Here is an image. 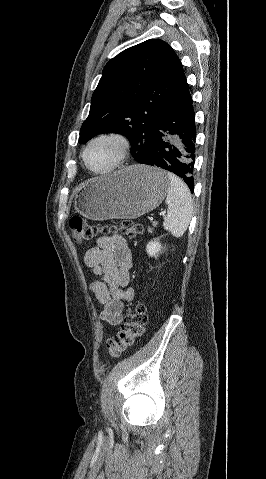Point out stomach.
Returning <instances> with one entry per match:
<instances>
[{"instance_id":"0dacf381","label":"stomach","mask_w":266,"mask_h":479,"mask_svg":"<svg viewBox=\"0 0 266 479\" xmlns=\"http://www.w3.org/2000/svg\"><path fill=\"white\" fill-rule=\"evenodd\" d=\"M169 184L164 170L133 165L80 185L75 191L76 211L96 221L135 219L160 205Z\"/></svg>"}]
</instances>
